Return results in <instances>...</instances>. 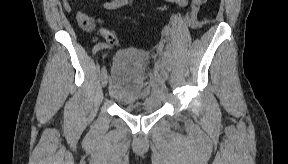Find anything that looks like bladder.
Returning <instances> with one entry per match:
<instances>
[{
	"instance_id": "31cf9c89",
	"label": "bladder",
	"mask_w": 288,
	"mask_h": 164,
	"mask_svg": "<svg viewBox=\"0 0 288 164\" xmlns=\"http://www.w3.org/2000/svg\"><path fill=\"white\" fill-rule=\"evenodd\" d=\"M147 63L148 56L140 50H126L113 59L108 93L125 112L154 113L160 109L159 99L145 85Z\"/></svg>"
}]
</instances>
